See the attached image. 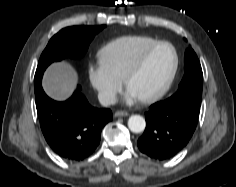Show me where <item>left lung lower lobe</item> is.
<instances>
[{
  "label": "left lung lower lobe",
  "instance_id": "obj_1",
  "mask_svg": "<svg viewBox=\"0 0 236 187\" xmlns=\"http://www.w3.org/2000/svg\"><path fill=\"white\" fill-rule=\"evenodd\" d=\"M199 110V106L185 101L153 104L145 113L146 129L138 139L140 151L156 160L176 155L192 137Z\"/></svg>",
  "mask_w": 236,
  "mask_h": 187
}]
</instances>
